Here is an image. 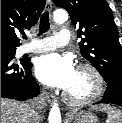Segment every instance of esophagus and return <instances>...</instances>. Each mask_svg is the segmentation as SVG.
<instances>
[{
    "mask_svg": "<svg viewBox=\"0 0 122 123\" xmlns=\"http://www.w3.org/2000/svg\"><path fill=\"white\" fill-rule=\"evenodd\" d=\"M45 9L47 11H49V12L52 10V2H51V0H47L46 1ZM45 97H46V100L48 101V103H50V104H54V103L57 102L56 97L54 95H52V94H47L46 93Z\"/></svg>",
    "mask_w": 122,
    "mask_h": 123,
    "instance_id": "obj_1",
    "label": "esophagus"
}]
</instances>
